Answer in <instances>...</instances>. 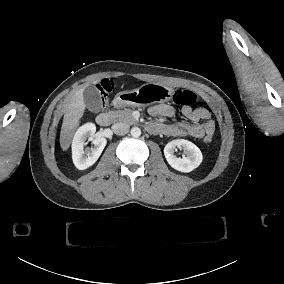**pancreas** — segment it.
I'll list each match as a JSON object with an SVG mask.
<instances>
[{"mask_svg":"<svg viewBox=\"0 0 284 284\" xmlns=\"http://www.w3.org/2000/svg\"><path fill=\"white\" fill-rule=\"evenodd\" d=\"M134 112V108H128L124 110L110 111L115 121H122L129 125H135L138 121L133 117L132 113Z\"/></svg>","mask_w":284,"mask_h":284,"instance_id":"pancreas-1","label":"pancreas"}]
</instances>
